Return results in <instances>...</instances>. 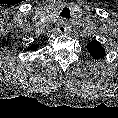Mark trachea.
<instances>
[{
	"label": "trachea",
	"instance_id": "trachea-1",
	"mask_svg": "<svg viewBox=\"0 0 118 118\" xmlns=\"http://www.w3.org/2000/svg\"><path fill=\"white\" fill-rule=\"evenodd\" d=\"M60 17L69 19L70 18V10H69V8H67V7L63 8L62 12L60 13Z\"/></svg>",
	"mask_w": 118,
	"mask_h": 118
}]
</instances>
